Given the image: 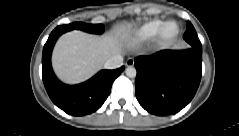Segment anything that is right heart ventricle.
<instances>
[{
    "instance_id": "right-heart-ventricle-1",
    "label": "right heart ventricle",
    "mask_w": 239,
    "mask_h": 136,
    "mask_svg": "<svg viewBox=\"0 0 239 136\" xmlns=\"http://www.w3.org/2000/svg\"><path fill=\"white\" fill-rule=\"evenodd\" d=\"M163 24L164 22L160 20H154L144 24L140 30L141 36L145 39L153 38L159 33Z\"/></svg>"
}]
</instances>
